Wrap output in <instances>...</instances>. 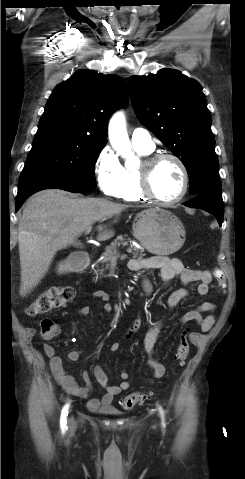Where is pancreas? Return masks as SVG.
Returning <instances> with one entry per match:
<instances>
[{"label":"pancreas","instance_id":"obj_1","mask_svg":"<svg viewBox=\"0 0 245 479\" xmlns=\"http://www.w3.org/2000/svg\"><path fill=\"white\" fill-rule=\"evenodd\" d=\"M125 237L126 235L117 236V238L109 246L105 248V252L102 254L103 259L101 260V263L105 264V268L98 269V274L103 275V272L109 267V262L115 257L118 247H120L121 245L125 246L127 244ZM128 240L131 241L130 238H128ZM132 250L134 251L133 252L134 258L138 257L141 259L143 256H145V254H143L142 251H139L136 247H131L128 251H132Z\"/></svg>","mask_w":245,"mask_h":479}]
</instances>
